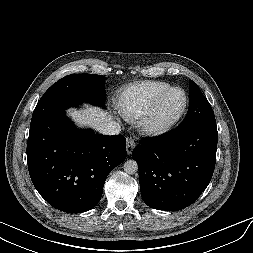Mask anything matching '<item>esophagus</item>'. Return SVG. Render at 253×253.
<instances>
[{"label":"esophagus","instance_id":"esophagus-1","mask_svg":"<svg viewBox=\"0 0 253 253\" xmlns=\"http://www.w3.org/2000/svg\"><path fill=\"white\" fill-rule=\"evenodd\" d=\"M136 143L133 138H128L126 143L127 154L130 155L135 147Z\"/></svg>","mask_w":253,"mask_h":253}]
</instances>
